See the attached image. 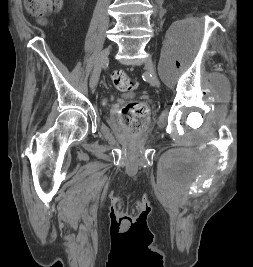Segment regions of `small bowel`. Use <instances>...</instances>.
<instances>
[{"mask_svg":"<svg viewBox=\"0 0 253 267\" xmlns=\"http://www.w3.org/2000/svg\"><path fill=\"white\" fill-rule=\"evenodd\" d=\"M39 23L42 24V25H46L47 24V20L44 19V18H40L39 19Z\"/></svg>","mask_w":253,"mask_h":267,"instance_id":"obj_1","label":"small bowel"}]
</instances>
